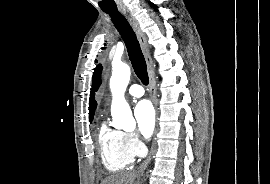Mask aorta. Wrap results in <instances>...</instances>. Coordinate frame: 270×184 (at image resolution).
Here are the masks:
<instances>
[{"mask_svg": "<svg viewBox=\"0 0 270 184\" xmlns=\"http://www.w3.org/2000/svg\"><path fill=\"white\" fill-rule=\"evenodd\" d=\"M130 67L125 63L114 64L110 79L112 92L111 114L113 126L125 131H133L136 126L130 106L125 100L124 93L130 80Z\"/></svg>", "mask_w": 270, "mask_h": 184, "instance_id": "obj_1", "label": "aorta"}]
</instances>
